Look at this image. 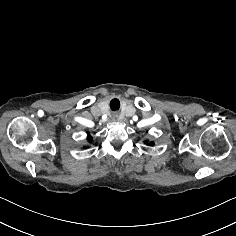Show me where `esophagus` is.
<instances>
[{"label": "esophagus", "mask_w": 236, "mask_h": 236, "mask_svg": "<svg viewBox=\"0 0 236 236\" xmlns=\"http://www.w3.org/2000/svg\"><path fill=\"white\" fill-rule=\"evenodd\" d=\"M114 118H117L118 117V114H113Z\"/></svg>", "instance_id": "esophagus-1"}]
</instances>
